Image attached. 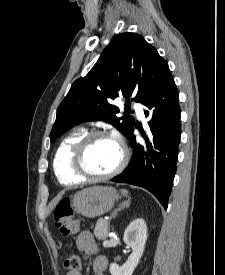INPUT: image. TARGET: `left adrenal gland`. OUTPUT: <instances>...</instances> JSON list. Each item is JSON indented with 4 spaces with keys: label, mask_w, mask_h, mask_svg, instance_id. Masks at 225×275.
Segmentation results:
<instances>
[{
    "label": "left adrenal gland",
    "mask_w": 225,
    "mask_h": 275,
    "mask_svg": "<svg viewBox=\"0 0 225 275\" xmlns=\"http://www.w3.org/2000/svg\"><path fill=\"white\" fill-rule=\"evenodd\" d=\"M129 205H130V201H129V200H128V201H124V202H122L121 204H119L118 208L115 209V210L113 211V213L111 214L110 220H111L112 218H115V216L117 215V213H118L119 211L123 210L124 208L128 207Z\"/></svg>",
    "instance_id": "1"
}]
</instances>
